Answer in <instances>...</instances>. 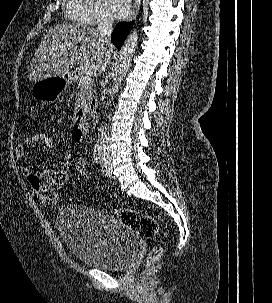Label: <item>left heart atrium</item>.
<instances>
[{"mask_svg": "<svg viewBox=\"0 0 272 303\" xmlns=\"http://www.w3.org/2000/svg\"><path fill=\"white\" fill-rule=\"evenodd\" d=\"M106 4L115 19L125 18L131 10V0H106Z\"/></svg>", "mask_w": 272, "mask_h": 303, "instance_id": "1", "label": "left heart atrium"}]
</instances>
